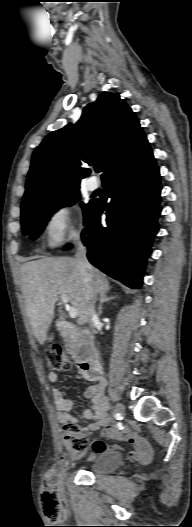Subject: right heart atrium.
I'll use <instances>...</instances> for the list:
<instances>
[{
    "label": "right heart atrium",
    "mask_w": 192,
    "mask_h": 527,
    "mask_svg": "<svg viewBox=\"0 0 192 527\" xmlns=\"http://www.w3.org/2000/svg\"><path fill=\"white\" fill-rule=\"evenodd\" d=\"M44 234L51 248H57L79 237L76 213L69 202H60L50 210L45 219Z\"/></svg>",
    "instance_id": "right-heart-atrium-1"
}]
</instances>
